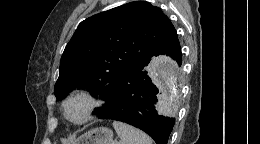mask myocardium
I'll return each instance as SVG.
<instances>
[{"label": "myocardium", "mask_w": 260, "mask_h": 144, "mask_svg": "<svg viewBox=\"0 0 260 144\" xmlns=\"http://www.w3.org/2000/svg\"><path fill=\"white\" fill-rule=\"evenodd\" d=\"M76 99L83 100L86 104V107L82 117L78 120H73L68 116V104ZM97 107L98 101L96 97L87 88H78L72 91L62 102V111L64 118L74 125H81L88 122L92 118Z\"/></svg>", "instance_id": "f54148a6"}]
</instances>
